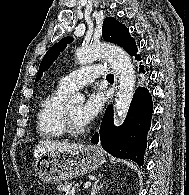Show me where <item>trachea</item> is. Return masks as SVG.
I'll list each match as a JSON object with an SVG mask.
<instances>
[{
    "instance_id": "1",
    "label": "trachea",
    "mask_w": 189,
    "mask_h": 195,
    "mask_svg": "<svg viewBox=\"0 0 189 195\" xmlns=\"http://www.w3.org/2000/svg\"><path fill=\"white\" fill-rule=\"evenodd\" d=\"M106 78H107V79L114 78V75H113V74H108V75L106 76Z\"/></svg>"
}]
</instances>
